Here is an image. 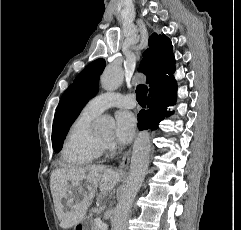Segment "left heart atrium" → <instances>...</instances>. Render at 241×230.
<instances>
[{
  "label": "left heart atrium",
  "mask_w": 241,
  "mask_h": 230,
  "mask_svg": "<svg viewBox=\"0 0 241 230\" xmlns=\"http://www.w3.org/2000/svg\"><path fill=\"white\" fill-rule=\"evenodd\" d=\"M137 121L134 114L127 110L116 114L115 138L119 143H129L136 132Z\"/></svg>",
  "instance_id": "obj_1"
}]
</instances>
